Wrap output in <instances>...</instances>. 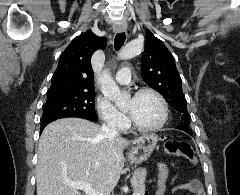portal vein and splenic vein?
Returning a JSON list of instances; mask_svg holds the SVG:
<instances>
[{
  "mask_svg": "<svg viewBox=\"0 0 240 195\" xmlns=\"http://www.w3.org/2000/svg\"><path fill=\"white\" fill-rule=\"evenodd\" d=\"M65 183L72 189H82L87 195H105V193H100V191L94 189L91 183H87V181H65ZM133 195H138V193H133Z\"/></svg>",
  "mask_w": 240,
  "mask_h": 195,
  "instance_id": "1",
  "label": "portal vein and splenic vein"
}]
</instances>
